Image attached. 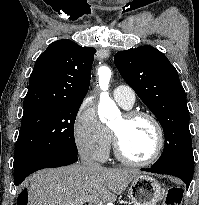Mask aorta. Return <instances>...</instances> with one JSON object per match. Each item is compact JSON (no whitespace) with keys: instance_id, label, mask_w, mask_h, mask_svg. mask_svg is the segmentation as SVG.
Here are the masks:
<instances>
[{"instance_id":"1","label":"aorta","mask_w":199,"mask_h":205,"mask_svg":"<svg viewBox=\"0 0 199 205\" xmlns=\"http://www.w3.org/2000/svg\"><path fill=\"white\" fill-rule=\"evenodd\" d=\"M98 74L100 88L103 91L100 94L98 114L100 120L105 123L107 122V118L109 117V115L117 111V106L107 92L109 87V81L111 78V70L108 67H101L98 71Z\"/></svg>"}]
</instances>
